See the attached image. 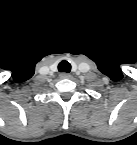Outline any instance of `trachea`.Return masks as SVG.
<instances>
[{"instance_id": "1", "label": "trachea", "mask_w": 137, "mask_h": 145, "mask_svg": "<svg viewBox=\"0 0 137 145\" xmlns=\"http://www.w3.org/2000/svg\"><path fill=\"white\" fill-rule=\"evenodd\" d=\"M58 70L59 72L69 73L71 71V64L68 61L63 60L58 64Z\"/></svg>"}]
</instances>
